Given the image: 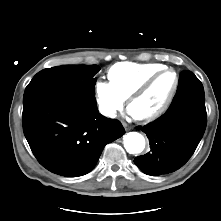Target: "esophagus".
Here are the masks:
<instances>
[{
	"label": "esophagus",
	"mask_w": 221,
	"mask_h": 221,
	"mask_svg": "<svg viewBox=\"0 0 221 221\" xmlns=\"http://www.w3.org/2000/svg\"><path fill=\"white\" fill-rule=\"evenodd\" d=\"M123 127L125 128L126 131L130 130V126L126 122H122Z\"/></svg>",
	"instance_id": "obj_1"
}]
</instances>
